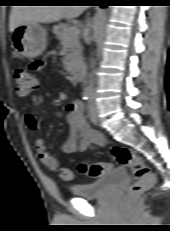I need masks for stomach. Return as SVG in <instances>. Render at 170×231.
<instances>
[{
    "label": "stomach",
    "instance_id": "1",
    "mask_svg": "<svg viewBox=\"0 0 170 231\" xmlns=\"http://www.w3.org/2000/svg\"><path fill=\"white\" fill-rule=\"evenodd\" d=\"M12 44L21 56L27 58L38 57L46 49V30L38 23L19 25L12 32Z\"/></svg>",
    "mask_w": 170,
    "mask_h": 231
}]
</instances>
